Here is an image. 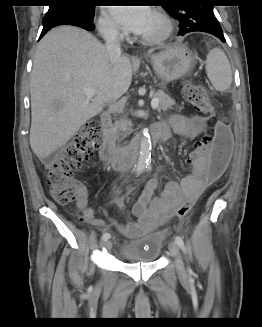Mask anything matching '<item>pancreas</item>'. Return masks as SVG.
<instances>
[{
    "label": "pancreas",
    "instance_id": "obj_1",
    "mask_svg": "<svg viewBox=\"0 0 262 327\" xmlns=\"http://www.w3.org/2000/svg\"><path fill=\"white\" fill-rule=\"evenodd\" d=\"M154 97L159 99V108L158 110L167 111L168 109H172L175 105V100L172 99L168 94L163 91H157L154 93ZM131 123L126 121L125 124L121 126L123 130H128Z\"/></svg>",
    "mask_w": 262,
    "mask_h": 327
}]
</instances>
